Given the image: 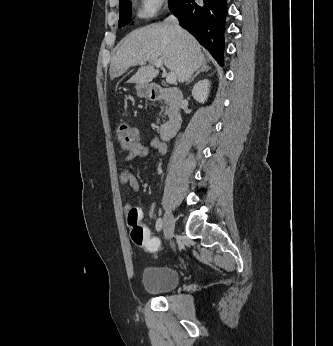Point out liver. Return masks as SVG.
I'll list each match as a JSON object with an SVG mask.
<instances>
[{"label": "liver", "instance_id": "liver-1", "mask_svg": "<svg viewBox=\"0 0 333 346\" xmlns=\"http://www.w3.org/2000/svg\"><path fill=\"white\" fill-rule=\"evenodd\" d=\"M157 59L175 73L179 83L188 81L205 63L201 46L190 33L168 22L157 23L134 30L123 39L111 61L110 77H119L129 67L142 65L128 82L148 85L159 73L152 65ZM145 62L149 64L144 65Z\"/></svg>", "mask_w": 333, "mask_h": 346}]
</instances>
